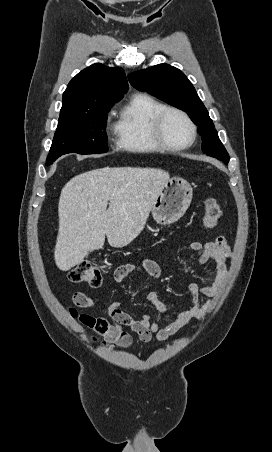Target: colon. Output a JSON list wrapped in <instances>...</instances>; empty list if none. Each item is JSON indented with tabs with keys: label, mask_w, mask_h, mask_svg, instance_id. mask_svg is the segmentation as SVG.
Listing matches in <instances>:
<instances>
[{
	"label": "colon",
	"mask_w": 272,
	"mask_h": 452,
	"mask_svg": "<svg viewBox=\"0 0 272 452\" xmlns=\"http://www.w3.org/2000/svg\"><path fill=\"white\" fill-rule=\"evenodd\" d=\"M221 204L213 198H208L204 203L203 225L206 229H212L222 216ZM104 270L98 265L89 262H81L68 271L67 278L73 283H85L93 287L102 284Z\"/></svg>",
	"instance_id": "5ec220e1"
}]
</instances>
